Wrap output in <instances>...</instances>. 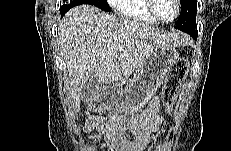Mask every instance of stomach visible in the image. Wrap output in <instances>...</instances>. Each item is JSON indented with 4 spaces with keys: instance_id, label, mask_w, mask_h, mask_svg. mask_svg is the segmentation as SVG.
Returning <instances> with one entry per match:
<instances>
[{
    "instance_id": "stomach-1",
    "label": "stomach",
    "mask_w": 231,
    "mask_h": 151,
    "mask_svg": "<svg viewBox=\"0 0 231 151\" xmlns=\"http://www.w3.org/2000/svg\"><path fill=\"white\" fill-rule=\"evenodd\" d=\"M178 59L179 54L174 47H161L152 51L123 89L112 86L106 90L110 96L107 104L126 114L140 111L156 94Z\"/></svg>"
}]
</instances>
